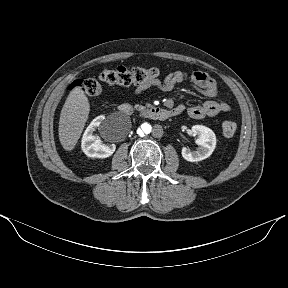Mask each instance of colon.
Instances as JSON below:
<instances>
[{"label":"colon","instance_id":"5ec220e1","mask_svg":"<svg viewBox=\"0 0 288 288\" xmlns=\"http://www.w3.org/2000/svg\"><path fill=\"white\" fill-rule=\"evenodd\" d=\"M158 76V70L153 67H133L131 69L118 67L117 69H104L99 78L108 84L139 85ZM71 88H80L88 96H99L103 93L101 84L92 78L77 79L71 84ZM222 131L225 136L231 137L237 131V123L233 120H225L222 123Z\"/></svg>","mask_w":288,"mask_h":288}]
</instances>
